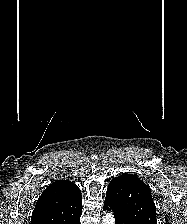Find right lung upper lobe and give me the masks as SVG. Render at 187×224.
<instances>
[{
	"label": "right lung upper lobe",
	"instance_id": "obj_1",
	"mask_svg": "<svg viewBox=\"0 0 187 224\" xmlns=\"http://www.w3.org/2000/svg\"><path fill=\"white\" fill-rule=\"evenodd\" d=\"M81 201V191L73 182L55 181L39 197L31 224H68L81 213Z\"/></svg>",
	"mask_w": 187,
	"mask_h": 224
}]
</instances>
